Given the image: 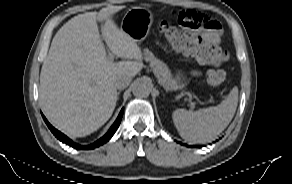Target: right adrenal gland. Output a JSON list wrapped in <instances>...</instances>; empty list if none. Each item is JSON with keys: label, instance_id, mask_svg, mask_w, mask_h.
<instances>
[{"label": "right adrenal gland", "instance_id": "right-adrenal-gland-1", "mask_svg": "<svg viewBox=\"0 0 292 184\" xmlns=\"http://www.w3.org/2000/svg\"><path fill=\"white\" fill-rule=\"evenodd\" d=\"M120 92H121V90H120V91H118V93H117V100H119V95H120Z\"/></svg>", "mask_w": 292, "mask_h": 184}]
</instances>
